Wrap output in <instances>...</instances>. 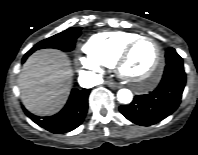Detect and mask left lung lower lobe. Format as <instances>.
I'll list each match as a JSON object with an SVG mask.
<instances>
[{
	"instance_id": "obj_1",
	"label": "left lung lower lobe",
	"mask_w": 198,
	"mask_h": 155,
	"mask_svg": "<svg viewBox=\"0 0 198 155\" xmlns=\"http://www.w3.org/2000/svg\"><path fill=\"white\" fill-rule=\"evenodd\" d=\"M185 83L183 63H169L156 90L150 94L136 95L129 105L120 106L119 110L135 124L150 126L158 123L178 108Z\"/></svg>"
}]
</instances>
